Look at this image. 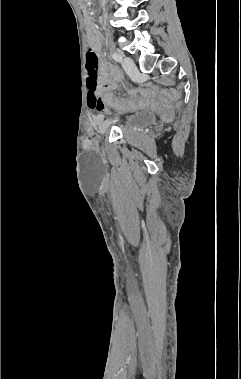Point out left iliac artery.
I'll return each mask as SVG.
<instances>
[{
  "mask_svg": "<svg viewBox=\"0 0 241 379\" xmlns=\"http://www.w3.org/2000/svg\"><path fill=\"white\" fill-rule=\"evenodd\" d=\"M112 58H113L115 61H117V62H121V61H122V56H121V54H119V53H117V52H114V53L112 54Z\"/></svg>",
  "mask_w": 241,
  "mask_h": 379,
  "instance_id": "44dca946",
  "label": "left iliac artery"
}]
</instances>
